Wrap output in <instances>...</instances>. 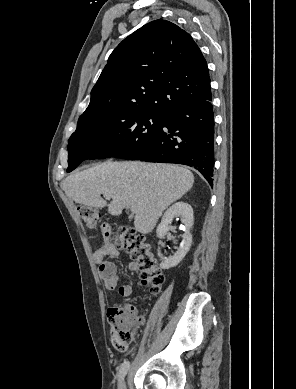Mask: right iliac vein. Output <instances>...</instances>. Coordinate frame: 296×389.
Masks as SVG:
<instances>
[{"label": "right iliac vein", "instance_id": "1", "mask_svg": "<svg viewBox=\"0 0 296 389\" xmlns=\"http://www.w3.org/2000/svg\"><path fill=\"white\" fill-rule=\"evenodd\" d=\"M118 389H126V383L125 381H122L120 384H119V388Z\"/></svg>", "mask_w": 296, "mask_h": 389}]
</instances>
